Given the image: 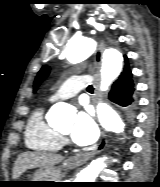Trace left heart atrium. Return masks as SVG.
<instances>
[{
  "mask_svg": "<svg viewBox=\"0 0 160 187\" xmlns=\"http://www.w3.org/2000/svg\"><path fill=\"white\" fill-rule=\"evenodd\" d=\"M99 136V129L88 110H81L71 131V139L82 146L93 144Z\"/></svg>",
  "mask_w": 160,
  "mask_h": 187,
  "instance_id": "obj_1",
  "label": "left heart atrium"
}]
</instances>
